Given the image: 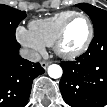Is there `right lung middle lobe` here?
Listing matches in <instances>:
<instances>
[{
	"label": "right lung middle lobe",
	"instance_id": "obj_1",
	"mask_svg": "<svg viewBox=\"0 0 107 107\" xmlns=\"http://www.w3.org/2000/svg\"><path fill=\"white\" fill-rule=\"evenodd\" d=\"M26 17L24 11H19L7 5H0V40L15 42V30Z\"/></svg>",
	"mask_w": 107,
	"mask_h": 107
}]
</instances>
